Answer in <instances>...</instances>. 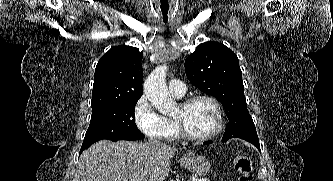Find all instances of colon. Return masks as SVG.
I'll list each match as a JSON object with an SVG mask.
<instances>
[{
    "label": "colon",
    "instance_id": "5ec220e1",
    "mask_svg": "<svg viewBox=\"0 0 333 181\" xmlns=\"http://www.w3.org/2000/svg\"><path fill=\"white\" fill-rule=\"evenodd\" d=\"M233 166L239 175V181H253L252 163L248 156H235L233 158Z\"/></svg>",
    "mask_w": 333,
    "mask_h": 181
}]
</instances>
